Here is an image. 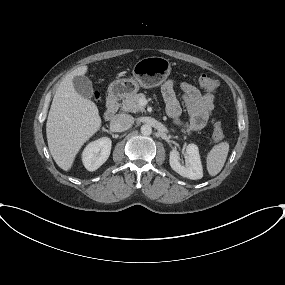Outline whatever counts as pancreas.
<instances>
[{"instance_id":"pancreas-1","label":"pancreas","mask_w":285,"mask_h":285,"mask_svg":"<svg viewBox=\"0 0 285 285\" xmlns=\"http://www.w3.org/2000/svg\"><path fill=\"white\" fill-rule=\"evenodd\" d=\"M146 96L143 93H134L128 95L120 104L121 110L125 112H144L145 108L139 104L140 99L145 98ZM183 133L191 134V131L182 129Z\"/></svg>"}]
</instances>
